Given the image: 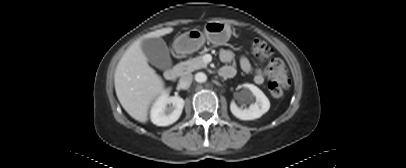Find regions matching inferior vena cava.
I'll return each mask as SVG.
<instances>
[{
  "label": "inferior vena cava",
  "mask_w": 406,
  "mask_h": 168,
  "mask_svg": "<svg viewBox=\"0 0 406 168\" xmlns=\"http://www.w3.org/2000/svg\"><path fill=\"white\" fill-rule=\"evenodd\" d=\"M193 80V75L191 73H186L180 78V86L183 89H187L190 87Z\"/></svg>",
  "instance_id": "602c4592"
}]
</instances>
